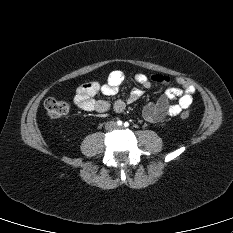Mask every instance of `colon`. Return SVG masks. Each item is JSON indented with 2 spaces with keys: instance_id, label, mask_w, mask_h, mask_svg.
Here are the masks:
<instances>
[{
  "instance_id": "5ec220e1",
  "label": "colon",
  "mask_w": 233,
  "mask_h": 233,
  "mask_svg": "<svg viewBox=\"0 0 233 233\" xmlns=\"http://www.w3.org/2000/svg\"><path fill=\"white\" fill-rule=\"evenodd\" d=\"M45 110L50 118L57 119L65 116L70 111V104L64 100L48 98L44 103ZM181 118L187 119L190 116L189 111H183Z\"/></svg>"
}]
</instances>
